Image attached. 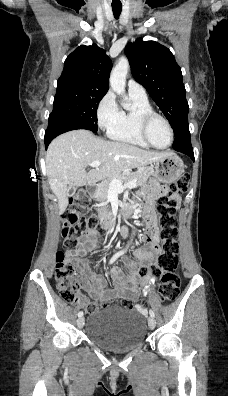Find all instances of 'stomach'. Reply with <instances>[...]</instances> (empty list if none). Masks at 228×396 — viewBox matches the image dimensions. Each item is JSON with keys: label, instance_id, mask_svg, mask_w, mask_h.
Listing matches in <instances>:
<instances>
[{"label": "stomach", "instance_id": "0dacf381", "mask_svg": "<svg viewBox=\"0 0 228 396\" xmlns=\"http://www.w3.org/2000/svg\"><path fill=\"white\" fill-rule=\"evenodd\" d=\"M150 170L159 182L171 183L178 180L184 172V163L177 155L170 154L162 160L154 162Z\"/></svg>", "mask_w": 228, "mask_h": 396}]
</instances>
